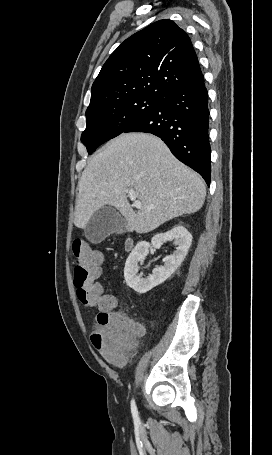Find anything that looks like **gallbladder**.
I'll list each match as a JSON object with an SVG mask.
<instances>
[{
  "label": "gallbladder",
  "mask_w": 272,
  "mask_h": 455,
  "mask_svg": "<svg viewBox=\"0 0 272 455\" xmlns=\"http://www.w3.org/2000/svg\"><path fill=\"white\" fill-rule=\"evenodd\" d=\"M126 230V221L112 207L103 206L96 211L84 229L85 237L91 243H100L110 234Z\"/></svg>",
  "instance_id": "gallbladder-1"
}]
</instances>
